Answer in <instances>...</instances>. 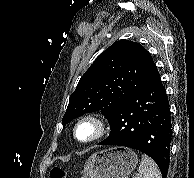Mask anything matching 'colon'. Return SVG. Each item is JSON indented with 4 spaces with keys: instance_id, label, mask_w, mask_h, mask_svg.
<instances>
[{
    "instance_id": "obj_1",
    "label": "colon",
    "mask_w": 194,
    "mask_h": 178,
    "mask_svg": "<svg viewBox=\"0 0 194 178\" xmlns=\"http://www.w3.org/2000/svg\"><path fill=\"white\" fill-rule=\"evenodd\" d=\"M50 178H66V172L61 166H54L50 171Z\"/></svg>"
}]
</instances>
